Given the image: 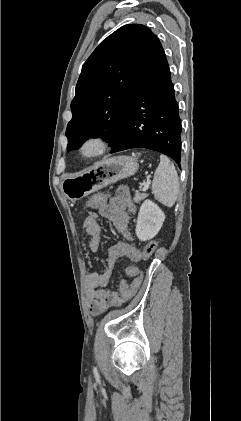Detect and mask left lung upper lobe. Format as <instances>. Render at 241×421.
I'll return each mask as SVG.
<instances>
[{
	"label": "left lung upper lobe",
	"mask_w": 241,
	"mask_h": 421,
	"mask_svg": "<svg viewBox=\"0 0 241 421\" xmlns=\"http://www.w3.org/2000/svg\"><path fill=\"white\" fill-rule=\"evenodd\" d=\"M156 35L146 26L129 24L108 36L82 66L71 102L67 150L102 137L111 146L121 135L135 90Z\"/></svg>",
	"instance_id": "5c2ea615"
}]
</instances>
